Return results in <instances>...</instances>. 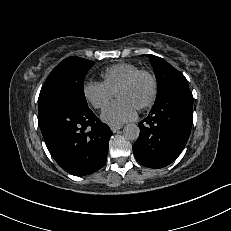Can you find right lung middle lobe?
<instances>
[{
	"label": "right lung middle lobe",
	"mask_w": 231,
	"mask_h": 231,
	"mask_svg": "<svg viewBox=\"0 0 231 231\" xmlns=\"http://www.w3.org/2000/svg\"><path fill=\"white\" fill-rule=\"evenodd\" d=\"M93 65L92 61L75 56L61 61L49 74L41 88L38 113L62 102H74L87 106L83 82Z\"/></svg>",
	"instance_id": "dd1d6c3e"
}]
</instances>
